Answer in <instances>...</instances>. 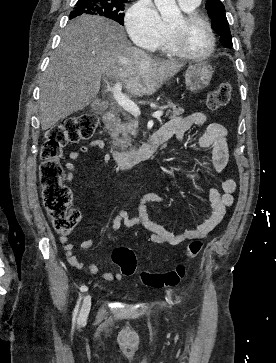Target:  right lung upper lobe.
Here are the masks:
<instances>
[{
	"label": "right lung upper lobe",
	"mask_w": 276,
	"mask_h": 363,
	"mask_svg": "<svg viewBox=\"0 0 276 363\" xmlns=\"http://www.w3.org/2000/svg\"><path fill=\"white\" fill-rule=\"evenodd\" d=\"M117 1H127V0H117Z\"/></svg>",
	"instance_id": "obj_1"
}]
</instances>
